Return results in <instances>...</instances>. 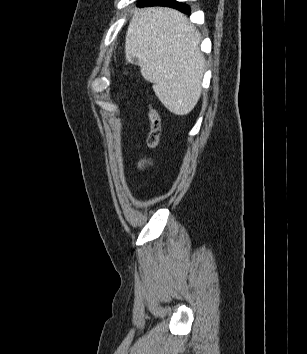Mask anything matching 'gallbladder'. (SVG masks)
Wrapping results in <instances>:
<instances>
[{"label":"gallbladder","instance_id":"bac80fb5","mask_svg":"<svg viewBox=\"0 0 307 354\" xmlns=\"http://www.w3.org/2000/svg\"><path fill=\"white\" fill-rule=\"evenodd\" d=\"M131 63L136 65L138 63V59L136 57H132L131 58Z\"/></svg>","mask_w":307,"mask_h":354}]
</instances>
